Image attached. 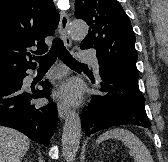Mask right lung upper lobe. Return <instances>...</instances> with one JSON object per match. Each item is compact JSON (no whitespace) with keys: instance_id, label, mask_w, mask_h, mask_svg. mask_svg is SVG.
<instances>
[{"instance_id":"1","label":"right lung upper lobe","mask_w":168,"mask_h":162,"mask_svg":"<svg viewBox=\"0 0 168 162\" xmlns=\"http://www.w3.org/2000/svg\"><path fill=\"white\" fill-rule=\"evenodd\" d=\"M59 13L52 0H0V78L35 68L26 56L48 50L44 39L54 34Z\"/></svg>"}]
</instances>
